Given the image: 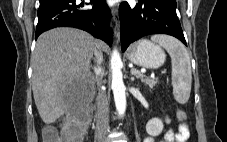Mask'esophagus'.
<instances>
[{"mask_svg":"<svg viewBox=\"0 0 227 142\" xmlns=\"http://www.w3.org/2000/svg\"><path fill=\"white\" fill-rule=\"evenodd\" d=\"M112 20L114 23V34L117 40L120 39V26H119V14L118 9L113 8L112 9Z\"/></svg>","mask_w":227,"mask_h":142,"instance_id":"1","label":"esophagus"}]
</instances>
